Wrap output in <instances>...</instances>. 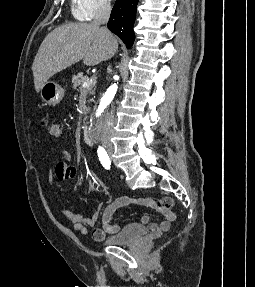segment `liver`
I'll list each match as a JSON object with an SVG mask.
<instances>
[{
	"label": "liver",
	"instance_id": "liver-1",
	"mask_svg": "<svg viewBox=\"0 0 255 287\" xmlns=\"http://www.w3.org/2000/svg\"><path fill=\"white\" fill-rule=\"evenodd\" d=\"M118 50V42L112 34L99 28V24H65L52 30L44 38L33 62L32 70L36 92L45 82L83 60L85 66H97L110 60Z\"/></svg>",
	"mask_w": 255,
	"mask_h": 287
}]
</instances>
